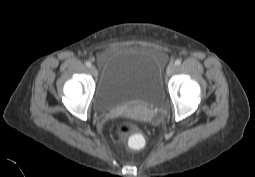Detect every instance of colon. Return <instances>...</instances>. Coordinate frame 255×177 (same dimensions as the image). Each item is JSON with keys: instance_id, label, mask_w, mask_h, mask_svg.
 Wrapping results in <instances>:
<instances>
[{"instance_id": "obj_1", "label": "colon", "mask_w": 255, "mask_h": 177, "mask_svg": "<svg viewBox=\"0 0 255 177\" xmlns=\"http://www.w3.org/2000/svg\"><path fill=\"white\" fill-rule=\"evenodd\" d=\"M118 132L128 137L129 144L135 150H139L143 145V138L137 129L129 123H120L117 127Z\"/></svg>"}]
</instances>
